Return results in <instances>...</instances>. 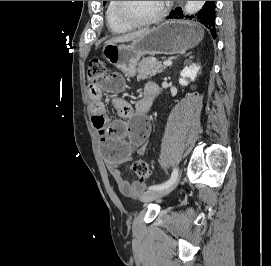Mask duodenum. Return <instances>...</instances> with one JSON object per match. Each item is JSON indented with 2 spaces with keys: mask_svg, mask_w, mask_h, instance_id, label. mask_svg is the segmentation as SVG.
Returning a JSON list of instances; mask_svg holds the SVG:
<instances>
[{
  "mask_svg": "<svg viewBox=\"0 0 271 266\" xmlns=\"http://www.w3.org/2000/svg\"><path fill=\"white\" fill-rule=\"evenodd\" d=\"M158 94V87L152 85L150 90L148 91V96L154 98Z\"/></svg>",
  "mask_w": 271,
  "mask_h": 266,
  "instance_id": "410a0bca",
  "label": "duodenum"
}]
</instances>
